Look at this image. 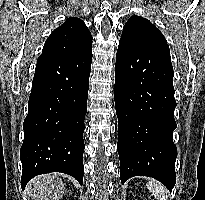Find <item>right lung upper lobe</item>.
I'll return each mask as SVG.
<instances>
[{"label":"right lung upper lobe","mask_w":205,"mask_h":200,"mask_svg":"<svg viewBox=\"0 0 205 200\" xmlns=\"http://www.w3.org/2000/svg\"><path fill=\"white\" fill-rule=\"evenodd\" d=\"M91 46L92 36L85 23L69 17L51 33L41 56H73L86 52Z\"/></svg>","instance_id":"right-lung-upper-lobe-1"}]
</instances>
